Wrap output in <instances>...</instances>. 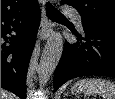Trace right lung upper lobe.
Listing matches in <instances>:
<instances>
[{
    "label": "right lung upper lobe",
    "mask_w": 115,
    "mask_h": 99,
    "mask_svg": "<svg viewBox=\"0 0 115 99\" xmlns=\"http://www.w3.org/2000/svg\"><path fill=\"white\" fill-rule=\"evenodd\" d=\"M36 0H1V17L9 14L22 11Z\"/></svg>",
    "instance_id": "obj_1"
}]
</instances>
